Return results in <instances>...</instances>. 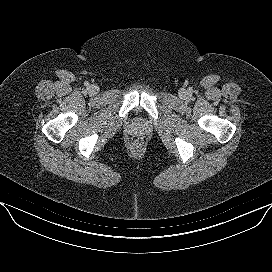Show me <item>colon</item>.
Instances as JSON below:
<instances>
[{
    "label": "colon",
    "instance_id": "colon-1",
    "mask_svg": "<svg viewBox=\"0 0 272 272\" xmlns=\"http://www.w3.org/2000/svg\"><path fill=\"white\" fill-rule=\"evenodd\" d=\"M133 145H134V146H140V145H141V140H140L139 138H135V139L133 140Z\"/></svg>",
    "mask_w": 272,
    "mask_h": 272
}]
</instances>
